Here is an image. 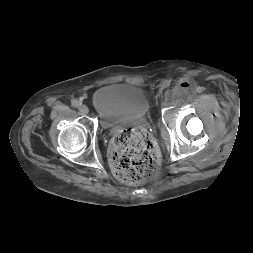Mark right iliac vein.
<instances>
[{
  "mask_svg": "<svg viewBox=\"0 0 253 253\" xmlns=\"http://www.w3.org/2000/svg\"><path fill=\"white\" fill-rule=\"evenodd\" d=\"M79 112L80 114L85 115V114H88L89 109L86 105L82 104L79 106Z\"/></svg>",
  "mask_w": 253,
  "mask_h": 253,
  "instance_id": "1",
  "label": "right iliac vein"
}]
</instances>
